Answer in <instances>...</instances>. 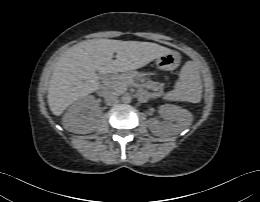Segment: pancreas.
Segmentation results:
<instances>
[{
    "label": "pancreas",
    "mask_w": 260,
    "mask_h": 202,
    "mask_svg": "<svg viewBox=\"0 0 260 202\" xmlns=\"http://www.w3.org/2000/svg\"><path fill=\"white\" fill-rule=\"evenodd\" d=\"M143 76L142 73H139L137 71L133 72H126L122 73L120 76H118L116 79L107 80L105 82L106 88L108 91L116 92V93H123L127 90V88L130 86L131 82L134 79H139ZM145 86L149 89H159L164 86L163 83H157V82H147Z\"/></svg>",
    "instance_id": "pancreas-1"
}]
</instances>
